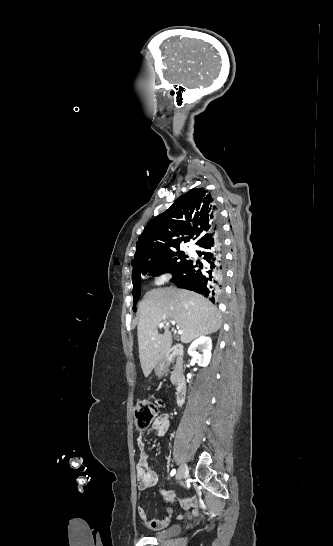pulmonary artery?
I'll use <instances>...</instances> for the list:
<instances>
[{
    "label": "pulmonary artery",
    "mask_w": 333,
    "mask_h": 546,
    "mask_svg": "<svg viewBox=\"0 0 333 546\" xmlns=\"http://www.w3.org/2000/svg\"><path fill=\"white\" fill-rule=\"evenodd\" d=\"M187 251H188L189 253H193V252H194V250H193L192 248H187Z\"/></svg>",
    "instance_id": "obj_1"
}]
</instances>
